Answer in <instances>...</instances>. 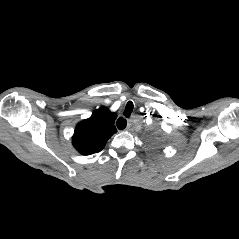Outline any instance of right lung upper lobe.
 Returning <instances> with one entry per match:
<instances>
[{
	"instance_id": "cb5924a9",
	"label": "right lung upper lobe",
	"mask_w": 239,
	"mask_h": 239,
	"mask_svg": "<svg viewBox=\"0 0 239 239\" xmlns=\"http://www.w3.org/2000/svg\"><path fill=\"white\" fill-rule=\"evenodd\" d=\"M117 115L102 107L95 110L91 117L78 123L73 145L82 155L101 151L108 139L117 132L114 125Z\"/></svg>"
}]
</instances>
